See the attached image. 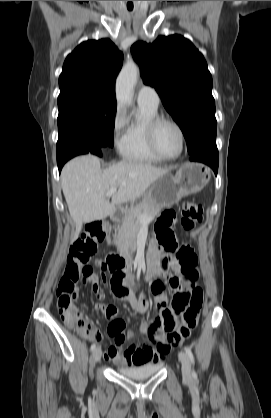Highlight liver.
Segmentation results:
<instances>
[{"instance_id": "obj_1", "label": "liver", "mask_w": 271, "mask_h": 418, "mask_svg": "<svg viewBox=\"0 0 271 418\" xmlns=\"http://www.w3.org/2000/svg\"><path fill=\"white\" fill-rule=\"evenodd\" d=\"M169 171V168L127 160L102 170L100 159L90 154L70 160L62 170L61 187L75 222L71 242L77 240L83 223L104 219L115 212L116 206L137 200ZM114 187L119 190L110 202L106 193Z\"/></svg>"}]
</instances>
